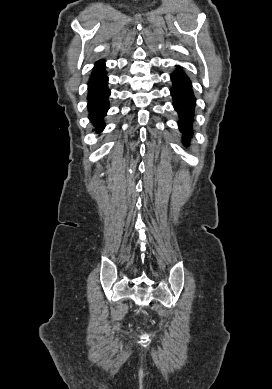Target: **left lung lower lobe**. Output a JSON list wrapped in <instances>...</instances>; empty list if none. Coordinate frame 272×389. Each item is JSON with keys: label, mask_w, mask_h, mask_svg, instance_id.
<instances>
[{"label": "left lung lower lobe", "mask_w": 272, "mask_h": 389, "mask_svg": "<svg viewBox=\"0 0 272 389\" xmlns=\"http://www.w3.org/2000/svg\"><path fill=\"white\" fill-rule=\"evenodd\" d=\"M171 80L173 87L170 91L174 101L173 105L180 118L179 128L183 133L184 144L187 145L192 137V122L196 99L192 90V83L180 67L171 74Z\"/></svg>", "instance_id": "obj_1"}]
</instances>
